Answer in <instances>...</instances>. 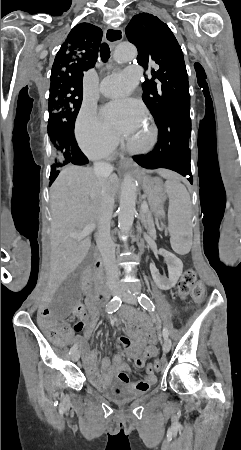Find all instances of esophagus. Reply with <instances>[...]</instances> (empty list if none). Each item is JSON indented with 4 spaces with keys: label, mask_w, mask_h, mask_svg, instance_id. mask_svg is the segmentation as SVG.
I'll use <instances>...</instances> for the list:
<instances>
[{
    "label": "esophagus",
    "mask_w": 241,
    "mask_h": 450,
    "mask_svg": "<svg viewBox=\"0 0 241 450\" xmlns=\"http://www.w3.org/2000/svg\"><path fill=\"white\" fill-rule=\"evenodd\" d=\"M104 40L114 48L117 43L123 40V30L121 28L107 27L104 31ZM134 162L132 159H126L119 164L120 169L132 167Z\"/></svg>",
    "instance_id": "esophagus-1"
}]
</instances>
